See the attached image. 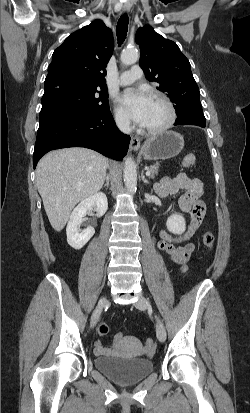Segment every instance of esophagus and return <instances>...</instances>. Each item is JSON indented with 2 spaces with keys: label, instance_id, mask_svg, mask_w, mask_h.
Masks as SVG:
<instances>
[{
  "label": "esophagus",
  "instance_id": "1",
  "mask_svg": "<svg viewBox=\"0 0 250 413\" xmlns=\"http://www.w3.org/2000/svg\"><path fill=\"white\" fill-rule=\"evenodd\" d=\"M129 10H130V5L125 4L123 6L122 12L127 13V12H129ZM129 148H130V150L137 151L140 148V139L136 136L132 137L131 141H130Z\"/></svg>",
  "mask_w": 250,
  "mask_h": 413
}]
</instances>
